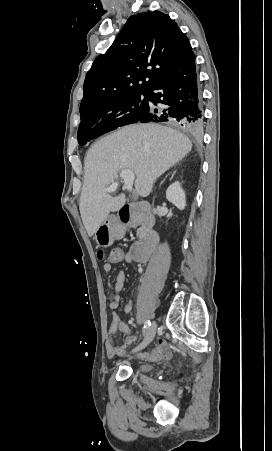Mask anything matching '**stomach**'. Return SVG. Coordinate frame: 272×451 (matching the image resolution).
<instances>
[{
	"label": "stomach",
	"mask_w": 272,
	"mask_h": 451,
	"mask_svg": "<svg viewBox=\"0 0 272 451\" xmlns=\"http://www.w3.org/2000/svg\"><path fill=\"white\" fill-rule=\"evenodd\" d=\"M94 239H96L98 245H102V247H109L114 241L112 231L107 224H101V226L96 229Z\"/></svg>",
	"instance_id": "1"
}]
</instances>
